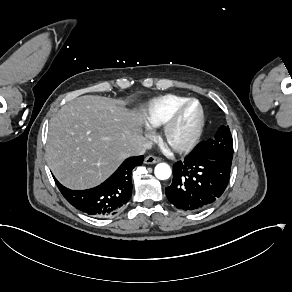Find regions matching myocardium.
<instances>
[{
  "mask_svg": "<svg viewBox=\"0 0 292 292\" xmlns=\"http://www.w3.org/2000/svg\"><path fill=\"white\" fill-rule=\"evenodd\" d=\"M192 104H195L197 106V113L196 118L194 121V124L188 133V135L181 141H175L172 139L171 133L180 119L181 115L191 106ZM204 123V112L203 107L200 104V102L196 99H187L185 102L177 106L171 114L168 116V118L165 120L162 126V132L161 136L163 140L166 142L167 145L172 147L173 149L177 151H187L191 149L195 143L197 142L202 127Z\"/></svg>",
  "mask_w": 292,
  "mask_h": 292,
  "instance_id": "1",
  "label": "myocardium"
}]
</instances>
